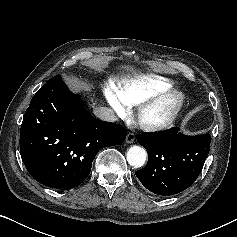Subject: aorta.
<instances>
[{
    "mask_svg": "<svg viewBox=\"0 0 237 237\" xmlns=\"http://www.w3.org/2000/svg\"><path fill=\"white\" fill-rule=\"evenodd\" d=\"M147 152L140 146H132L127 151V161L134 168H140L145 164Z\"/></svg>",
    "mask_w": 237,
    "mask_h": 237,
    "instance_id": "aorta-1",
    "label": "aorta"
}]
</instances>
